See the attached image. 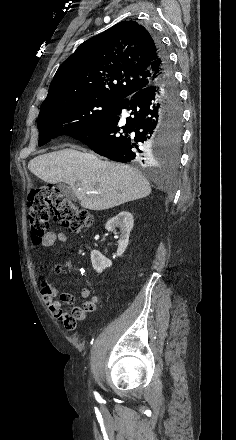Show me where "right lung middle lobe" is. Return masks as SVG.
I'll use <instances>...</instances> for the list:
<instances>
[{
	"label": "right lung middle lobe",
	"mask_w": 236,
	"mask_h": 440,
	"mask_svg": "<svg viewBox=\"0 0 236 440\" xmlns=\"http://www.w3.org/2000/svg\"><path fill=\"white\" fill-rule=\"evenodd\" d=\"M178 98V94L173 96ZM120 102L96 97H77L43 102L38 117L39 146L60 135L72 136L109 118ZM181 140V125L165 129L159 146L160 158L176 162Z\"/></svg>",
	"instance_id": "1"
}]
</instances>
